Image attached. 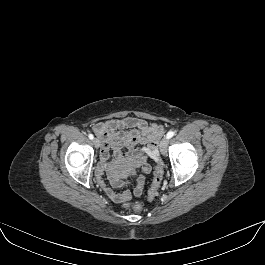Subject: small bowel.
<instances>
[{
	"instance_id": "1",
	"label": "small bowel",
	"mask_w": 265,
	"mask_h": 265,
	"mask_svg": "<svg viewBox=\"0 0 265 265\" xmlns=\"http://www.w3.org/2000/svg\"><path fill=\"white\" fill-rule=\"evenodd\" d=\"M93 130L103 142L98 167V181L108 197L115 203H123L131 198L129 191L115 192L101 178L102 173L109 167V151L112 150L120 161L131 163L140 168L142 174L136 178L133 188L135 196H141L146 181V175L151 172L148 159H159L158 140L163 134V128L157 124L135 117H123L98 122ZM111 184L114 187L123 185V181L113 175Z\"/></svg>"
}]
</instances>
